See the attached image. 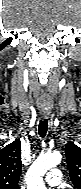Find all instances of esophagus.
<instances>
[{
	"mask_svg": "<svg viewBox=\"0 0 81 189\" xmlns=\"http://www.w3.org/2000/svg\"><path fill=\"white\" fill-rule=\"evenodd\" d=\"M42 119H47L48 118V113L44 112L41 115Z\"/></svg>",
	"mask_w": 81,
	"mask_h": 189,
	"instance_id": "34e87169",
	"label": "esophagus"
}]
</instances>
